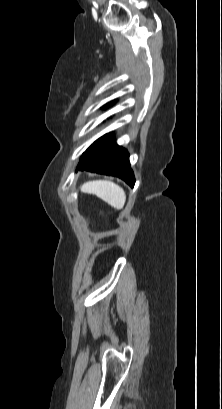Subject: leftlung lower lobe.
<instances>
[{"instance_id": "left-lung-lower-lobe-1", "label": "left lung lower lobe", "mask_w": 222, "mask_h": 409, "mask_svg": "<svg viewBox=\"0 0 222 409\" xmlns=\"http://www.w3.org/2000/svg\"><path fill=\"white\" fill-rule=\"evenodd\" d=\"M77 169L117 176L131 187L135 183L128 152L119 147L109 134L96 140L86 150Z\"/></svg>"}]
</instances>
